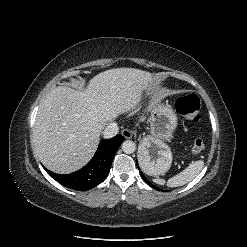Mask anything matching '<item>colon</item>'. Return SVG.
Wrapping results in <instances>:
<instances>
[{
	"mask_svg": "<svg viewBox=\"0 0 247 247\" xmlns=\"http://www.w3.org/2000/svg\"><path fill=\"white\" fill-rule=\"evenodd\" d=\"M175 108L179 114L193 122H198L200 120V100L195 94H189L177 99ZM204 149V141L202 139H196L192 145L193 152L200 153Z\"/></svg>",
	"mask_w": 247,
	"mask_h": 247,
	"instance_id": "obj_1",
	"label": "colon"
}]
</instances>
